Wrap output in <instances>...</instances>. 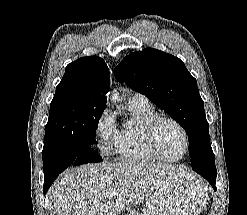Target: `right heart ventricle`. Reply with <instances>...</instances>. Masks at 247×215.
Returning <instances> with one entry per match:
<instances>
[{
	"label": "right heart ventricle",
	"mask_w": 247,
	"mask_h": 215,
	"mask_svg": "<svg viewBox=\"0 0 247 215\" xmlns=\"http://www.w3.org/2000/svg\"><path fill=\"white\" fill-rule=\"evenodd\" d=\"M130 121L117 129L114 139L115 153L125 162L148 163L159 160L149 149L145 127L158 117L154 108L129 101L127 106Z\"/></svg>",
	"instance_id": "1"
}]
</instances>
